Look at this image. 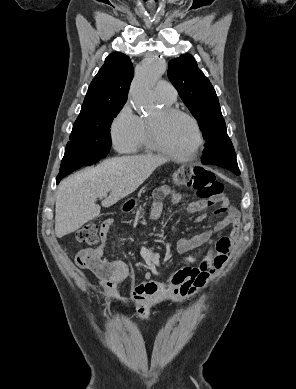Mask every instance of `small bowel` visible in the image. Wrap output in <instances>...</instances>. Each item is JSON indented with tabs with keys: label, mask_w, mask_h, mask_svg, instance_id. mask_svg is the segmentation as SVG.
Here are the masks:
<instances>
[{
	"label": "small bowel",
	"mask_w": 296,
	"mask_h": 389,
	"mask_svg": "<svg viewBox=\"0 0 296 389\" xmlns=\"http://www.w3.org/2000/svg\"><path fill=\"white\" fill-rule=\"evenodd\" d=\"M171 197L173 203H180L182 193L172 190L168 186L159 187L154 194L151 212L157 216L162 208V200ZM209 205L203 200H196L188 204L189 213L203 211ZM221 215L214 226V231H220L231 225L228 235L213 241L210 251L198 262L189 258L192 263L172 273L167 282H146L135 287L132 298L137 304V315L143 320L151 318V303L155 299L169 298L174 302H181L202 289L216 271L221 269L229 258L234 247L240 242V214L226 199L220 201L217 211ZM112 221L107 220L101 227L103 243L96 249H84L76 258L79 267L89 269L99 280L106 296L110 299L118 297V284L125 280L131 273L129 266L121 260H109L104 257L109 246L108 233ZM211 231H205L189 238L180 239L177 243V251L185 254L193 251L210 240Z\"/></svg>",
	"instance_id": "1"
}]
</instances>
